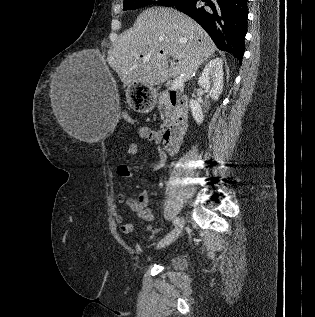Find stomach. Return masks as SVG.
Here are the masks:
<instances>
[{
	"label": "stomach",
	"mask_w": 315,
	"mask_h": 317,
	"mask_svg": "<svg viewBox=\"0 0 315 317\" xmlns=\"http://www.w3.org/2000/svg\"><path fill=\"white\" fill-rule=\"evenodd\" d=\"M127 95L130 108H137L138 114L154 113L158 98L151 84H127Z\"/></svg>",
	"instance_id": "obj_1"
}]
</instances>
